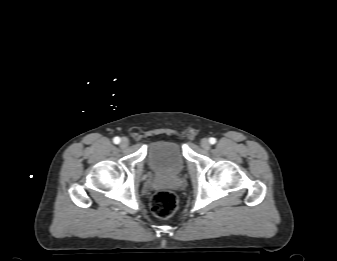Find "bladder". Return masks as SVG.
Listing matches in <instances>:
<instances>
[{"mask_svg": "<svg viewBox=\"0 0 337 261\" xmlns=\"http://www.w3.org/2000/svg\"><path fill=\"white\" fill-rule=\"evenodd\" d=\"M147 161L155 173L164 176H176L186 166L180 143L166 139L156 140L149 144Z\"/></svg>", "mask_w": 337, "mask_h": 261, "instance_id": "1", "label": "bladder"}]
</instances>
